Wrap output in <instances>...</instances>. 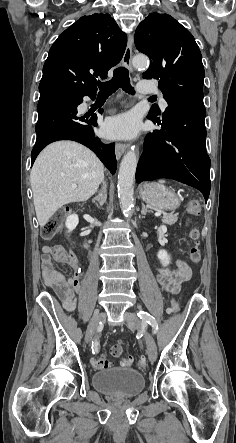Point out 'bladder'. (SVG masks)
<instances>
[{
    "instance_id": "bladder-1",
    "label": "bladder",
    "mask_w": 236,
    "mask_h": 443,
    "mask_svg": "<svg viewBox=\"0 0 236 443\" xmlns=\"http://www.w3.org/2000/svg\"><path fill=\"white\" fill-rule=\"evenodd\" d=\"M92 383L98 392L118 398H131L144 389L145 378L134 369L117 368L95 373Z\"/></svg>"
}]
</instances>
